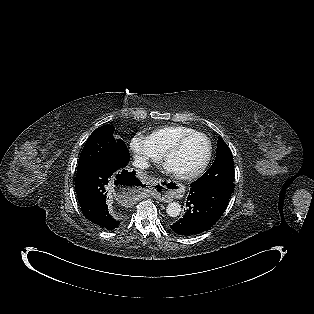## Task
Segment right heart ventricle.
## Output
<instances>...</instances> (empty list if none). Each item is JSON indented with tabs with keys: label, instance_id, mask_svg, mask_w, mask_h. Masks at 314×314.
Masks as SVG:
<instances>
[{
	"label": "right heart ventricle",
	"instance_id": "obj_1",
	"mask_svg": "<svg viewBox=\"0 0 314 314\" xmlns=\"http://www.w3.org/2000/svg\"><path fill=\"white\" fill-rule=\"evenodd\" d=\"M196 131L181 125L165 126L152 131L146 136L151 148L161 156L182 136Z\"/></svg>",
	"mask_w": 314,
	"mask_h": 314
}]
</instances>
